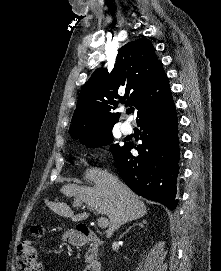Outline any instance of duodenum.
Instances as JSON below:
<instances>
[{"mask_svg": "<svg viewBox=\"0 0 221 271\" xmlns=\"http://www.w3.org/2000/svg\"><path fill=\"white\" fill-rule=\"evenodd\" d=\"M70 242L73 245L82 246L91 244L95 248L101 245V240L95 232L88 229L78 230L75 234L70 237ZM102 267L99 261H91L84 269V271H101Z\"/></svg>", "mask_w": 221, "mask_h": 271, "instance_id": "1", "label": "duodenum"}]
</instances>
